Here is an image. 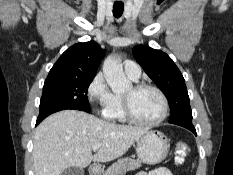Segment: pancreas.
I'll return each instance as SVG.
<instances>
[{
	"label": "pancreas",
	"instance_id": "obj_1",
	"mask_svg": "<svg viewBox=\"0 0 233 175\" xmlns=\"http://www.w3.org/2000/svg\"><path fill=\"white\" fill-rule=\"evenodd\" d=\"M141 167L140 160H134L129 157L120 158L110 166L103 175H123L127 171L135 170Z\"/></svg>",
	"mask_w": 233,
	"mask_h": 175
}]
</instances>
